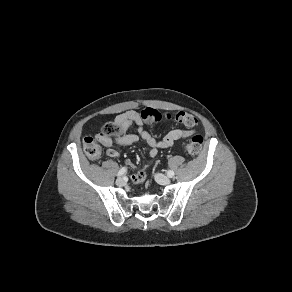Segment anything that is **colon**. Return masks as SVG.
Returning a JSON list of instances; mask_svg holds the SVG:
<instances>
[{
	"label": "colon",
	"instance_id": "obj_1",
	"mask_svg": "<svg viewBox=\"0 0 292 292\" xmlns=\"http://www.w3.org/2000/svg\"><path fill=\"white\" fill-rule=\"evenodd\" d=\"M141 117L143 121L147 123H155L162 119V115L158 111L150 108L144 109L141 112ZM165 117L166 118L172 117L174 120H176L179 123H182L187 127H194L196 125V119L186 112L180 111L174 113L173 115L167 114ZM121 132H122L121 127L116 125L114 122L104 124L100 132L94 138L87 137L84 139L83 147L86 155L92 160L100 158L102 154L100 138L116 137L119 136ZM202 144H203L202 136L195 135L185 143L184 150L186 151L187 154L191 156H196L200 153L202 149Z\"/></svg>",
	"mask_w": 292,
	"mask_h": 292
}]
</instances>
